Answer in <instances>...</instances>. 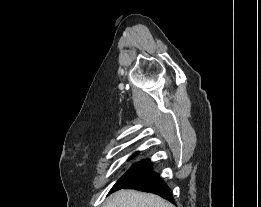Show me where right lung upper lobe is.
Returning <instances> with one entry per match:
<instances>
[{
	"mask_svg": "<svg viewBox=\"0 0 261 207\" xmlns=\"http://www.w3.org/2000/svg\"><path fill=\"white\" fill-rule=\"evenodd\" d=\"M136 154L132 155V157H134ZM145 161H149V160H145Z\"/></svg>",
	"mask_w": 261,
	"mask_h": 207,
	"instance_id": "right-lung-upper-lobe-1",
	"label": "right lung upper lobe"
}]
</instances>
